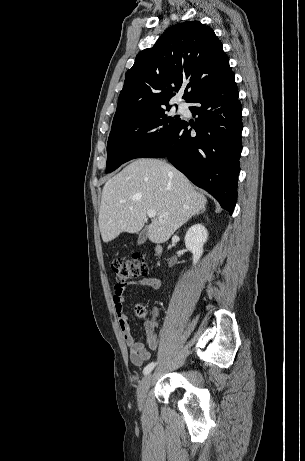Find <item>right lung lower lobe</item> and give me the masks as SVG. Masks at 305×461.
Instances as JSON below:
<instances>
[{
	"instance_id": "obj_1",
	"label": "right lung lower lobe",
	"mask_w": 305,
	"mask_h": 461,
	"mask_svg": "<svg viewBox=\"0 0 305 461\" xmlns=\"http://www.w3.org/2000/svg\"><path fill=\"white\" fill-rule=\"evenodd\" d=\"M189 102L195 124L182 120L171 136L143 158L166 157L195 185L214 196L230 215L237 199L242 150V109L234 73ZM194 129L196 134H191Z\"/></svg>"
}]
</instances>
